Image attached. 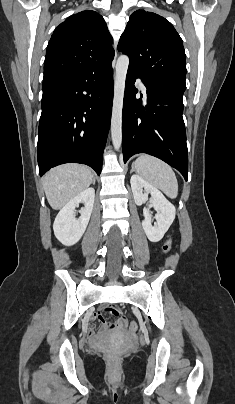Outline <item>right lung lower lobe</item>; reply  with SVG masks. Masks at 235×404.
<instances>
[{
  "mask_svg": "<svg viewBox=\"0 0 235 404\" xmlns=\"http://www.w3.org/2000/svg\"><path fill=\"white\" fill-rule=\"evenodd\" d=\"M37 158L40 176L69 162L100 175L113 100L112 64L43 81Z\"/></svg>",
  "mask_w": 235,
  "mask_h": 404,
  "instance_id": "98d812e1",
  "label": "right lung lower lobe"
}]
</instances>
